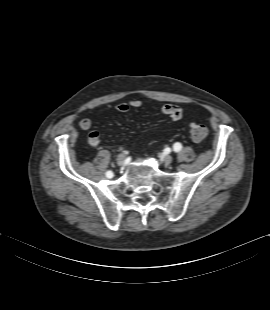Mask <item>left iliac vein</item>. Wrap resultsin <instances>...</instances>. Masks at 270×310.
I'll return each instance as SVG.
<instances>
[{
	"label": "left iliac vein",
	"mask_w": 270,
	"mask_h": 310,
	"mask_svg": "<svg viewBox=\"0 0 270 310\" xmlns=\"http://www.w3.org/2000/svg\"><path fill=\"white\" fill-rule=\"evenodd\" d=\"M163 161L164 164L169 165L172 162V157L170 155H165Z\"/></svg>",
	"instance_id": "left-iliac-vein-1"
}]
</instances>
